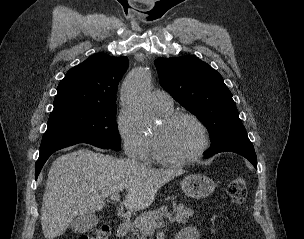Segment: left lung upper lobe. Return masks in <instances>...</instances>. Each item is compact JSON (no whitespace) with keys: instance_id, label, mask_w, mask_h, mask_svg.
<instances>
[{"instance_id":"left-lung-upper-lobe-1","label":"left lung upper lobe","mask_w":304,"mask_h":239,"mask_svg":"<svg viewBox=\"0 0 304 239\" xmlns=\"http://www.w3.org/2000/svg\"><path fill=\"white\" fill-rule=\"evenodd\" d=\"M161 86L208 128L206 153L254 150L222 76L194 56L155 60Z\"/></svg>"}]
</instances>
